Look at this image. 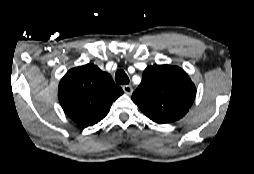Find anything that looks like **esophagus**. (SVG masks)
Returning <instances> with one entry per match:
<instances>
[{"label":"esophagus","mask_w":254,"mask_h":174,"mask_svg":"<svg viewBox=\"0 0 254 174\" xmlns=\"http://www.w3.org/2000/svg\"><path fill=\"white\" fill-rule=\"evenodd\" d=\"M122 89H123L124 93L127 94V95H131L132 92H133V88H132L131 85H124L122 87Z\"/></svg>","instance_id":"esophagus-1"}]
</instances>
